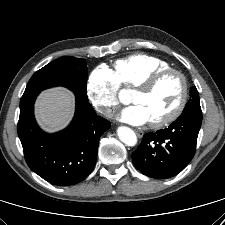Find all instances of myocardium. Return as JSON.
I'll return each mask as SVG.
<instances>
[{
	"mask_svg": "<svg viewBox=\"0 0 225 225\" xmlns=\"http://www.w3.org/2000/svg\"><path fill=\"white\" fill-rule=\"evenodd\" d=\"M168 75H175L179 79L181 86L180 97L176 106L168 114L158 120L150 121V125L154 128H161L172 123L183 112L188 96V84L186 77L181 71L177 69L167 68L148 76L135 86V90L149 92L153 90L159 84V82H161Z\"/></svg>",
	"mask_w": 225,
	"mask_h": 225,
	"instance_id": "1",
	"label": "myocardium"
}]
</instances>
